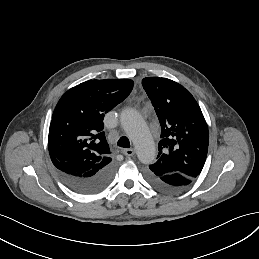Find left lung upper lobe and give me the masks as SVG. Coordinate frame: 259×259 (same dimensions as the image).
<instances>
[{
	"mask_svg": "<svg viewBox=\"0 0 259 259\" xmlns=\"http://www.w3.org/2000/svg\"><path fill=\"white\" fill-rule=\"evenodd\" d=\"M142 85L161 126L158 160L149 165L156 175L179 173L195 179L206 161L208 126L192 94L167 78L147 77Z\"/></svg>",
	"mask_w": 259,
	"mask_h": 259,
	"instance_id": "left-lung-upper-lobe-1",
	"label": "left lung upper lobe"
}]
</instances>
